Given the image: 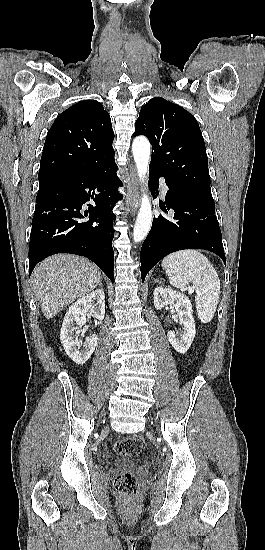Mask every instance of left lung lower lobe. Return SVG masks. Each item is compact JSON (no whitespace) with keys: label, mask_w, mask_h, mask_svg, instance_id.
I'll return each mask as SVG.
<instances>
[{"label":"left lung lower lobe","mask_w":265,"mask_h":550,"mask_svg":"<svg viewBox=\"0 0 265 550\" xmlns=\"http://www.w3.org/2000/svg\"><path fill=\"white\" fill-rule=\"evenodd\" d=\"M160 173L149 169L152 193L158 188ZM165 204L160 208L174 213L166 218L154 216L151 230L143 242L140 261L141 278L166 255L183 249H205L216 253L226 264L222 235L215 216V204L194 194L174 190L169 184Z\"/></svg>","instance_id":"1"}]
</instances>
